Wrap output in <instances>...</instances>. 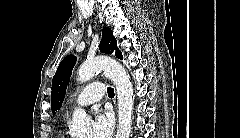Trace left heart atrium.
Masks as SVG:
<instances>
[{"mask_svg":"<svg viewBox=\"0 0 240 138\" xmlns=\"http://www.w3.org/2000/svg\"><path fill=\"white\" fill-rule=\"evenodd\" d=\"M113 132V119L110 113L97 111L93 122L94 138H109Z\"/></svg>","mask_w":240,"mask_h":138,"instance_id":"1","label":"left heart atrium"}]
</instances>
